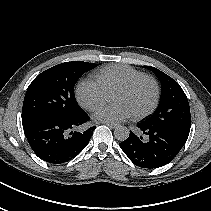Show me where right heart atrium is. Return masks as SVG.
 Instances as JSON below:
<instances>
[{
  "instance_id": "d8ad5b80",
  "label": "right heart atrium",
  "mask_w": 211,
  "mask_h": 211,
  "mask_svg": "<svg viewBox=\"0 0 211 211\" xmlns=\"http://www.w3.org/2000/svg\"><path fill=\"white\" fill-rule=\"evenodd\" d=\"M76 95L84 108L93 111L106 101L108 92L97 78L90 77L77 85Z\"/></svg>"
}]
</instances>
